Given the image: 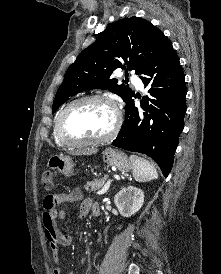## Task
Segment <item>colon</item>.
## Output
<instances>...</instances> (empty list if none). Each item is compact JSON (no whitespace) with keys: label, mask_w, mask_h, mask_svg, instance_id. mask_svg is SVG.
Masks as SVG:
<instances>
[{"label":"colon","mask_w":221,"mask_h":274,"mask_svg":"<svg viewBox=\"0 0 221 274\" xmlns=\"http://www.w3.org/2000/svg\"><path fill=\"white\" fill-rule=\"evenodd\" d=\"M56 174L51 170H46L41 176V182L45 189L49 190L54 186Z\"/></svg>","instance_id":"obj_1"}]
</instances>
